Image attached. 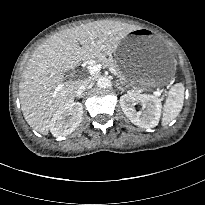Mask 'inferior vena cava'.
<instances>
[{
  "instance_id": "1",
  "label": "inferior vena cava",
  "mask_w": 205,
  "mask_h": 205,
  "mask_svg": "<svg viewBox=\"0 0 205 205\" xmlns=\"http://www.w3.org/2000/svg\"><path fill=\"white\" fill-rule=\"evenodd\" d=\"M93 84L91 79H84L78 87L77 94L82 95L88 88H90Z\"/></svg>"
}]
</instances>
